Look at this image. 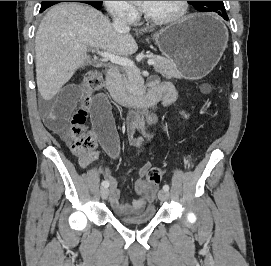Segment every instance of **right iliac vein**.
I'll return each mask as SVG.
<instances>
[{"label":"right iliac vein","instance_id":"63e3f726","mask_svg":"<svg viewBox=\"0 0 271 266\" xmlns=\"http://www.w3.org/2000/svg\"><path fill=\"white\" fill-rule=\"evenodd\" d=\"M102 199H106L109 194V189L106 187H102L100 190Z\"/></svg>","mask_w":271,"mask_h":266}]
</instances>
